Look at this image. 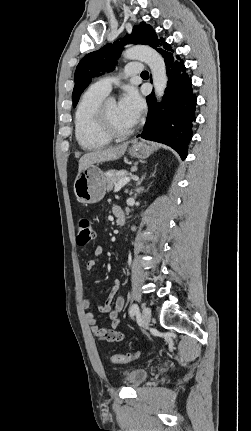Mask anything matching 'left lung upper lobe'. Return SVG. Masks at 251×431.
<instances>
[{"instance_id":"obj_1","label":"left lung upper lobe","mask_w":251,"mask_h":431,"mask_svg":"<svg viewBox=\"0 0 251 431\" xmlns=\"http://www.w3.org/2000/svg\"><path fill=\"white\" fill-rule=\"evenodd\" d=\"M158 40L153 28L145 22L133 27L131 35H127L113 44H106L101 49L87 54L79 62L75 71V86L73 89V107L76 106L81 93L89 85L91 79L101 74L110 72L115 68L116 59L128 43L149 44L151 47Z\"/></svg>"}]
</instances>
